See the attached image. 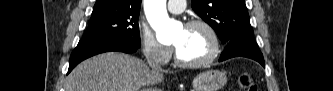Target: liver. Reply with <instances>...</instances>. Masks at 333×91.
<instances>
[{
    "mask_svg": "<svg viewBox=\"0 0 333 91\" xmlns=\"http://www.w3.org/2000/svg\"><path fill=\"white\" fill-rule=\"evenodd\" d=\"M161 72L150 70L140 59L109 52L80 63L69 74L65 91H160L150 88L163 81ZM149 87V88H148Z\"/></svg>",
    "mask_w": 333,
    "mask_h": 91,
    "instance_id": "obj_1",
    "label": "liver"
}]
</instances>
